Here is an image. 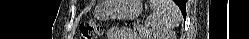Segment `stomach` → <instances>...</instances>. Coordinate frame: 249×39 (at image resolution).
I'll list each match as a JSON object with an SVG mask.
<instances>
[{
	"label": "stomach",
	"mask_w": 249,
	"mask_h": 39,
	"mask_svg": "<svg viewBox=\"0 0 249 39\" xmlns=\"http://www.w3.org/2000/svg\"><path fill=\"white\" fill-rule=\"evenodd\" d=\"M141 12V0H104L95 9V14L104 18L133 19Z\"/></svg>",
	"instance_id": "0dacf381"
}]
</instances>
